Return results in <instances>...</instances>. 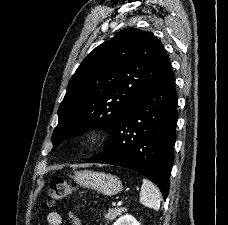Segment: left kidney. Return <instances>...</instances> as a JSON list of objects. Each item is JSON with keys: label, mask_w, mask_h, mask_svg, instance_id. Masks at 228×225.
Listing matches in <instances>:
<instances>
[{"label": "left kidney", "mask_w": 228, "mask_h": 225, "mask_svg": "<svg viewBox=\"0 0 228 225\" xmlns=\"http://www.w3.org/2000/svg\"><path fill=\"white\" fill-rule=\"evenodd\" d=\"M114 225H140L132 215H122L120 219H117Z\"/></svg>", "instance_id": "obj_1"}]
</instances>
